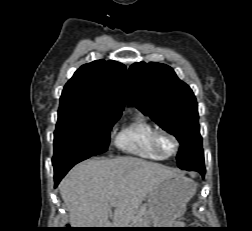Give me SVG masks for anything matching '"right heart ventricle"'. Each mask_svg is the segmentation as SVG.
Listing matches in <instances>:
<instances>
[{
	"label": "right heart ventricle",
	"mask_w": 252,
	"mask_h": 231,
	"mask_svg": "<svg viewBox=\"0 0 252 231\" xmlns=\"http://www.w3.org/2000/svg\"><path fill=\"white\" fill-rule=\"evenodd\" d=\"M157 127L146 116L137 114L124 124L115 137L122 152L148 160H163L152 145Z\"/></svg>",
	"instance_id": "obj_1"
}]
</instances>
